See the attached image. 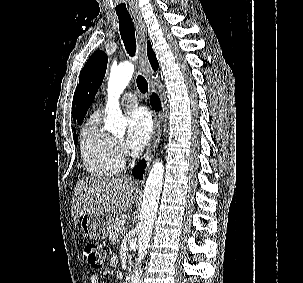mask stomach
<instances>
[{"mask_svg": "<svg viewBox=\"0 0 303 283\" xmlns=\"http://www.w3.org/2000/svg\"><path fill=\"white\" fill-rule=\"evenodd\" d=\"M113 218L108 214L87 213L81 217L83 236L93 240H103L110 235Z\"/></svg>", "mask_w": 303, "mask_h": 283, "instance_id": "1", "label": "stomach"}]
</instances>
